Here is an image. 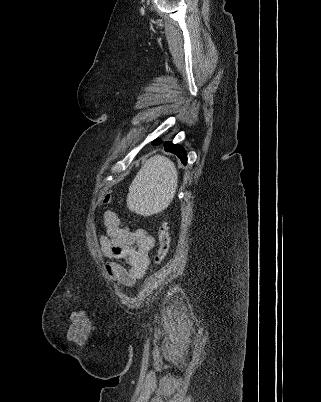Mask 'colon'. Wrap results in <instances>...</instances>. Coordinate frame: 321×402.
<instances>
[{
  "mask_svg": "<svg viewBox=\"0 0 321 402\" xmlns=\"http://www.w3.org/2000/svg\"><path fill=\"white\" fill-rule=\"evenodd\" d=\"M113 202V196L107 193L103 199V204L107 205ZM170 250V235L165 224H160L158 228V249L154 260L156 264L162 263L168 256Z\"/></svg>",
  "mask_w": 321,
  "mask_h": 402,
  "instance_id": "5ec220e1",
  "label": "colon"
}]
</instances>
